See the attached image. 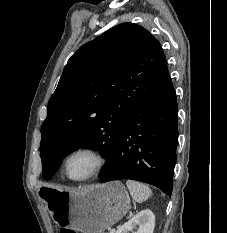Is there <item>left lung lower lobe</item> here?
Wrapping results in <instances>:
<instances>
[{"label": "left lung lower lobe", "instance_id": "0a47b994", "mask_svg": "<svg viewBox=\"0 0 227 233\" xmlns=\"http://www.w3.org/2000/svg\"><path fill=\"white\" fill-rule=\"evenodd\" d=\"M178 142V107L169 77L125 124L101 183L131 179L171 195Z\"/></svg>", "mask_w": 227, "mask_h": 233}]
</instances>
